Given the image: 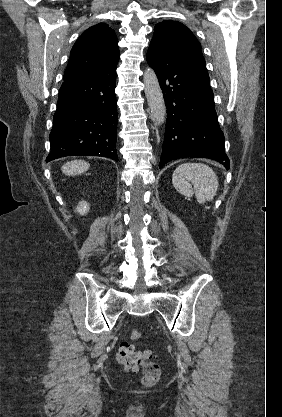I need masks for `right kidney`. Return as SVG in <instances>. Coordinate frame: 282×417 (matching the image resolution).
<instances>
[{"mask_svg": "<svg viewBox=\"0 0 282 417\" xmlns=\"http://www.w3.org/2000/svg\"><path fill=\"white\" fill-rule=\"evenodd\" d=\"M87 211H89V204L86 200H81L78 206H76V213H80V215H86Z\"/></svg>", "mask_w": 282, "mask_h": 417, "instance_id": "ca27d5eb", "label": "right kidney"}]
</instances>
